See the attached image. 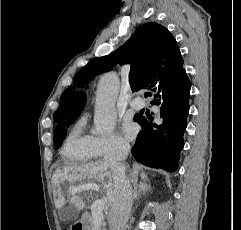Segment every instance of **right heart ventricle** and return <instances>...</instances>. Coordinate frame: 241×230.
Segmentation results:
<instances>
[{"label":"right heart ventricle","mask_w":241,"mask_h":230,"mask_svg":"<svg viewBox=\"0 0 241 230\" xmlns=\"http://www.w3.org/2000/svg\"><path fill=\"white\" fill-rule=\"evenodd\" d=\"M85 123V117L79 119L64 140L62 156L66 162L84 163L99 157L95 146V136L86 132Z\"/></svg>","instance_id":"obj_1"}]
</instances>
